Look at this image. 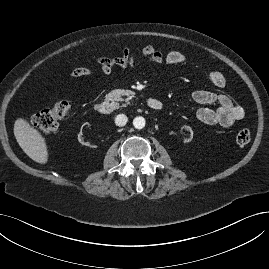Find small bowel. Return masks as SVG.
Masks as SVG:
<instances>
[{
    "label": "small bowel",
    "mask_w": 269,
    "mask_h": 269,
    "mask_svg": "<svg viewBox=\"0 0 269 269\" xmlns=\"http://www.w3.org/2000/svg\"><path fill=\"white\" fill-rule=\"evenodd\" d=\"M96 62L103 75L109 76L115 67L134 68L141 63L179 65L185 62V57L179 51H170L164 54L152 45H147L136 53L130 47L126 46L119 56L111 58L99 57L96 59ZM92 73L93 69L90 67H77L71 71V76L73 78H79ZM209 79L218 88L225 86V76L218 70L210 71ZM192 100L197 104L205 106L197 111L196 117L201 123L206 125L229 127L245 116L244 108L234 103L228 95L223 93L197 90L192 93ZM212 104H216L217 108L206 106Z\"/></svg>",
    "instance_id": "obj_1"
}]
</instances>
